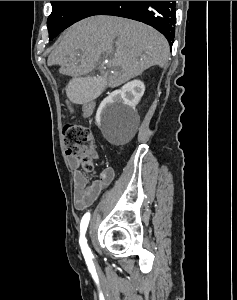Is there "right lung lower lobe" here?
Here are the masks:
<instances>
[{"instance_id":"right-lung-lower-lobe-1","label":"right lung lower lobe","mask_w":237,"mask_h":300,"mask_svg":"<svg viewBox=\"0 0 237 300\" xmlns=\"http://www.w3.org/2000/svg\"><path fill=\"white\" fill-rule=\"evenodd\" d=\"M175 5V1H106L93 15H114L144 22L161 32L172 46Z\"/></svg>"}]
</instances>
